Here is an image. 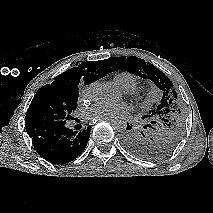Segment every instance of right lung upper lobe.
Listing matches in <instances>:
<instances>
[{
    "instance_id": "cb5924a9",
    "label": "right lung upper lobe",
    "mask_w": 213,
    "mask_h": 213,
    "mask_svg": "<svg viewBox=\"0 0 213 213\" xmlns=\"http://www.w3.org/2000/svg\"><path fill=\"white\" fill-rule=\"evenodd\" d=\"M102 62V60L93 62L87 61L79 64L77 67L71 68L58 75L51 84L47 85H72L79 84L80 81L84 82L85 85L90 84L110 73L102 66Z\"/></svg>"
}]
</instances>
